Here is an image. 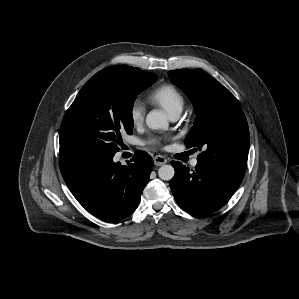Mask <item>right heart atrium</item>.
Segmentation results:
<instances>
[{"instance_id":"right-heart-atrium-1","label":"right heart atrium","mask_w":299,"mask_h":299,"mask_svg":"<svg viewBox=\"0 0 299 299\" xmlns=\"http://www.w3.org/2000/svg\"><path fill=\"white\" fill-rule=\"evenodd\" d=\"M128 116L133 126L142 125L145 118V106L143 102L139 99H134L129 106Z\"/></svg>"}]
</instances>
